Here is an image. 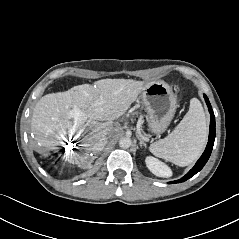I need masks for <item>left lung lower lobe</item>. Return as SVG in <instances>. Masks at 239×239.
<instances>
[{
  "instance_id": "obj_1",
  "label": "left lung lower lobe",
  "mask_w": 239,
  "mask_h": 239,
  "mask_svg": "<svg viewBox=\"0 0 239 239\" xmlns=\"http://www.w3.org/2000/svg\"><path fill=\"white\" fill-rule=\"evenodd\" d=\"M206 104L208 106V110L211 114V121H210V132H209V139H208V143L206 146V149L204 151V153L202 154V156L200 157V159L197 161V163L195 164V166L181 179L173 181V182H169V183H180V182H184L186 180H188L189 178H191L192 176H194L196 173H198L206 164V162L208 161L210 154L212 152L213 149V145H214V140H215V115L213 113V109L210 105L209 99L207 98L206 95H204Z\"/></svg>"
}]
</instances>
